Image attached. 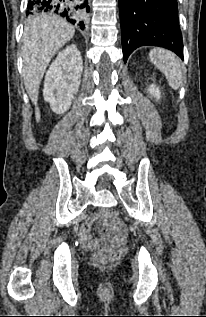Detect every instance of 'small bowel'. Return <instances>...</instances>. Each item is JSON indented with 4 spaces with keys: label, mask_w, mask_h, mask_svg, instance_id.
<instances>
[{
    "label": "small bowel",
    "mask_w": 206,
    "mask_h": 317,
    "mask_svg": "<svg viewBox=\"0 0 206 317\" xmlns=\"http://www.w3.org/2000/svg\"><path fill=\"white\" fill-rule=\"evenodd\" d=\"M98 216L96 214L90 215V217L81 225L79 229L80 240L85 246L90 240V229L92 224L97 220ZM105 233L108 236L113 237L115 240H123L126 235V230L122 224L117 226L114 231L106 230Z\"/></svg>",
    "instance_id": "small-bowel-1"
}]
</instances>
